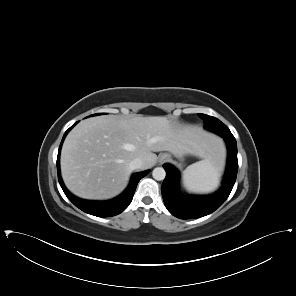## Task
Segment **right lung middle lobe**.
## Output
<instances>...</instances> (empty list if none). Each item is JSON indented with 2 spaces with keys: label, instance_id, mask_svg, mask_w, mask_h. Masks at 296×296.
<instances>
[{
  "label": "right lung middle lobe",
  "instance_id": "right-lung-middle-lobe-1",
  "mask_svg": "<svg viewBox=\"0 0 296 296\" xmlns=\"http://www.w3.org/2000/svg\"><path fill=\"white\" fill-rule=\"evenodd\" d=\"M102 113H97V114H94V115H101ZM94 115H92V116H94Z\"/></svg>",
  "mask_w": 296,
  "mask_h": 296
}]
</instances>
